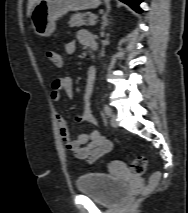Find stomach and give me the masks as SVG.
<instances>
[{
    "instance_id": "stomach-1",
    "label": "stomach",
    "mask_w": 188,
    "mask_h": 213,
    "mask_svg": "<svg viewBox=\"0 0 188 213\" xmlns=\"http://www.w3.org/2000/svg\"><path fill=\"white\" fill-rule=\"evenodd\" d=\"M100 0H39L31 13L32 27L39 36H49L56 28V20L69 11L96 8Z\"/></svg>"
}]
</instances>
